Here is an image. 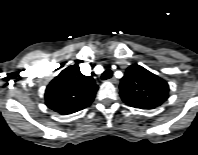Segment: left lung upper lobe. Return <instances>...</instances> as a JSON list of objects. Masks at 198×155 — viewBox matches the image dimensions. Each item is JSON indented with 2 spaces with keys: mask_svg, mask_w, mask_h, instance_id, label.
I'll list each match as a JSON object with an SVG mask.
<instances>
[{
  "mask_svg": "<svg viewBox=\"0 0 198 155\" xmlns=\"http://www.w3.org/2000/svg\"><path fill=\"white\" fill-rule=\"evenodd\" d=\"M168 91L167 82L139 65L127 68L125 76L121 79V98L132 107H158L168 98Z\"/></svg>",
  "mask_w": 198,
  "mask_h": 155,
  "instance_id": "left-lung-upper-lobe-1",
  "label": "left lung upper lobe"
}]
</instances>
